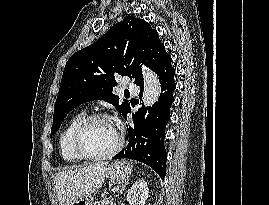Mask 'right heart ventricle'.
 <instances>
[{"instance_id": "right-heart-ventricle-1", "label": "right heart ventricle", "mask_w": 269, "mask_h": 205, "mask_svg": "<svg viewBox=\"0 0 269 205\" xmlns=\"http://www.w3.org/2000/svg\"><path fill=\"white\" fill-rule=\"evenodd\" d=\"M84 113L74 115L66 124L59 137L60 154L64 161L68 163H78L83 159L80 158L72 147V137L77 126L85 119Z\"/></svg>"}]
</instances>
